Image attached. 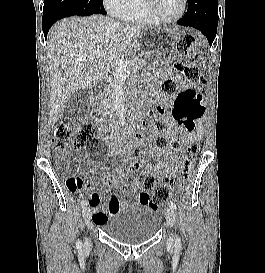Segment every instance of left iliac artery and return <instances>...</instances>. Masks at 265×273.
<instances>
[{
  "instance_id": "1",
  "label": "left iliac artery",
  "mask_w": 265,
  "mask_h": 273,
  "mask_svg": "<svg viewBox=\"0 0 265 273\" xmlns=\"http://www.w3.org/2000/svg\"><path fill=\"white\" fill-rule=\"evenodd\" d=\"M169 206H170V208H171L172 210H176V209H177V205H176V203L173 202V201H170V202H169ZM175 247H176V248H181V240H180V238H178V239L175 241Z\"/></svg>"
}]
</instances>
